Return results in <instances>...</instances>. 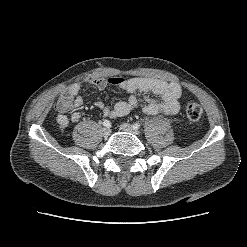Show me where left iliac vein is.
<instances>
[{"label": "left iliac vein", "instance_id": "obj_1", "mask_svg": "<svg viewBox=\"0 0 247 247\" xmlns=\"http://www.w3.org/2000/svg\"><path fill=\"white\" fill-rule=\"evenodd\" d=\"M120 129L122 131H125V132H129V133H132L134 135H139L140 134V131H138L137 129H134L130 124L128 123H122L120 125Z\"/></svg>", "mask_w": 247, "mask_h": 247}]
</instances>
